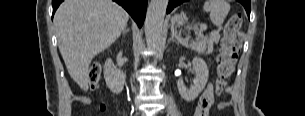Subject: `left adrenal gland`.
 <instances>
[{
	"label": "left adrenal gland",
	"mask_w": 305,
	"mask_h": 116,
	"mask_svg": "<svg viewBox=\"0 0 305 116\" xmlns=\"http://www.w3.org/2000/svg\"><path fill=\"white\" fill-rule=\"evenodd\" d=\"M177 38L178 39V37L176 36V34L174 33V31H172V36H171V38L169 39V41H176L174 38ZM178 44H179V41L177 42Z\"/></svg>",
	"instance_id": "obj_1"
}]
</instances>
